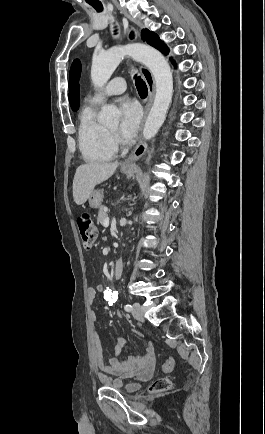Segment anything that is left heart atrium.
Listing matches in <instances>:
<instances>
[{"instance_id":"left-heart-atrium-1","label":"left heart atrium","mask_w":265,"mask_h":434,"mask_svg":"<svg viewBox=\"0 0 265 434\" xmlns=\"http://www.w3.org/2000/svg\"><path fill=\"white\" fill-rule=\"evenodd\" d=\"M121 119L119 130L125 139H131L137 133L142 118V110L138 102L123 100L120 104Z\"/></svg>"}]
</instances>
